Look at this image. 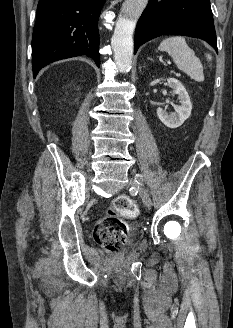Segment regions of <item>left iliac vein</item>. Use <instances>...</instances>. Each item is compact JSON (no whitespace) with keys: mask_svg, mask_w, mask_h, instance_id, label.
Returning <instances> with one entry per match:
<instances>
[{"mask_svg":"<svg viewBox=\"0 0 233 328\" xmlns=\"http://www.w3.org/2000/svg\"><path fill=\"white\" fill-rule=\"evenodd\" d=\"M142 178L139 174H136L134 176V178H132L129 181V185L132 186L133 188H135L136 190H138L140 197L142 198V201L144 203V205L147 208H151L152 207V202L151 199L149 197V195L143 190L142 188V184H141Z\"/></svg>","mask_w":233,"mask_h":328,"instance_id":"left-iliac-vein-1","label":"left iliac vein"}]
</instances>
